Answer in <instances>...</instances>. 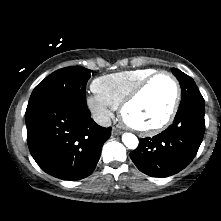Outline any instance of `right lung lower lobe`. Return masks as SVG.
I'll use <instances>...</instances> for the list:
<instances>
[{
  "instance_id": "1",
  "label": "right lung lower lobe",
  "mask_w": 221,
  "mask_h": 221,
  "mask_svg": "<svg viewBox=\"0 0 221 221\" xmlns=\"http://www.w3.org/2000/svg\"><path fill=\"white\" fill-rule=\"evenodd\" d=\"M30 153L40 168L57 178L83 179L95 169L111 128L97 125L86 102L55 101L25 113Z\"/></svg>"
}]
</instances>
